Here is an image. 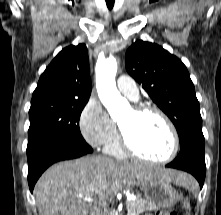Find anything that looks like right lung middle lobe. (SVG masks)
I'll list each match as a JSON object with an SVG mask.
<instances>
[{
	"mask_svg": "<svg viewBox=\"0 0 221 215\" xmlns=\"http://www.w3.org/2000/svg\"><path fill=\"white\" fill-rule=\"evenodd\" d=\"M88 101H47L31 105L27 150L48 140L84 141L79 119Z\"/></svg>",
	"mask_w": 221,
	"mask_h": 215,
	"instance_id": "obj_1",
	"label": "right lung middle lobe"
}]
</instances>
